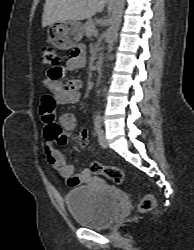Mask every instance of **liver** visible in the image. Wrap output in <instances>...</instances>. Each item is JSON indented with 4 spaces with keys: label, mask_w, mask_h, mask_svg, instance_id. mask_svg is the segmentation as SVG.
<instances>
[{
    "label": "liver",
    "mask_w": 194,
    "mask_h": 250,
    "mask_svg": "<svg viewBox=\"0 0 194 250\" xmlns=\"http://www.w3.org/2000/svg\"><path fill=\"white\" fill-rule=\"evenodd\" d=\"M106 0H46L42 15V27L62 21L89 19L101 12Z\"/></svg>",
    "instance_id": "1"
}]
</instances>
